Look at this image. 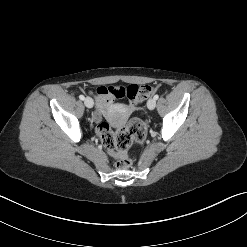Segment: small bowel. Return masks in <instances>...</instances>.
Returning <instances> with one entry per match:
<instances>
[{
  "label": "small bowel",
  "instance_id": "1",
  "mask_svg": "<svg viewBox=\"0 0 247 247\" xmlns=\"http://www.w3.org/2000/svg\"><path fill=\"white\" fill-rule=\"evenodd\" d=\"M113 94L108 91V88L106 87H99L97 88L95 99L96 104L98 108V112L95 115V119L99 121L101 119V113L109 108L113 102ZM131 110H134V108H131Z\"/></svg>",
  "mask_w": 247,
  "mask_h": 247
}]
</instances>
